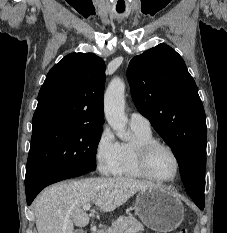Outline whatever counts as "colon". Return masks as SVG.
I'll return each mask as SVG.
<instances>
[{"label": "colon", "instance_id": "colon-1", "mask_svg": "<svg viewBox=\"0 0 227 233\" xmlns=\"http://www.w3.org/2000/svg\"><path fill=\"white\" fill-rule=\"evenodd\" d=\"M174 233H188V230L185 227H181L178 228Z\"/></svg>", "mask_w": 227, "mask_h": 233}]
</instances>
